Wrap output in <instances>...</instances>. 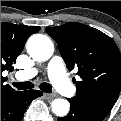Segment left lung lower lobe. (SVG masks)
Instances as JSON below:
<instances>
[{
    "instance_id": "obj_1",
    "label": "left lung lower lobe",
    "mask_w": 121,
    "mask_h": 121,
    "mask_svg": "<svg viewBox=\"0 0 121 121\" xmlns=\"http://www.w3.org/2000/svg\"><path fill=\"white\" fill-rule=\"evenodd\" d=\"M71 104V110L65 117L58 118V121H102L106 116L85 109L73 99H68Z\"/></svg>"
}]
</instances>
